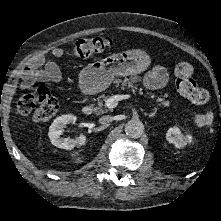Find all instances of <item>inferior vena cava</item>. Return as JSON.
Wrapping results in <instances>:
<instances>
[{"label":"inferior vena cava","instance_id":"inferior-vena-cava-1","mask_svg":"<svg viewBox=\"0 0 221 221\" xmlns=\"http://www.w3.org/2000/svg\"><path fill=\"white\" fill-rule=\"evenodd\" d=\"M112 121H113V118H112L111 116H109V115L103 116V117H101V118L99 119V122H100L101 124H109V123H111Z\"/></svg>","mask_w":221,"mask_h":221}]
</instances>
